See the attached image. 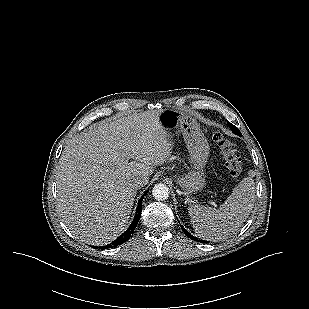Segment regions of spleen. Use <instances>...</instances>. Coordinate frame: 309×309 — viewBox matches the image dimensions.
<instances>
[{"label": "spleen", "instance_id": "spleen-1", "mask_svg": "<svg viewBox=\"0 0 309 309\" xmlns=\"http://www.w3.org/2000/svg\"><path fill=\"white\" fill-rule=\"evenodd\" d=\"M251 177L244 178L218 208L189 205L188 213L195 233L202 239L221 241L235 233L249 217L255 202Z\"/></svg>", "mask_w": 309, "mask_h": 309}]
</instances>
